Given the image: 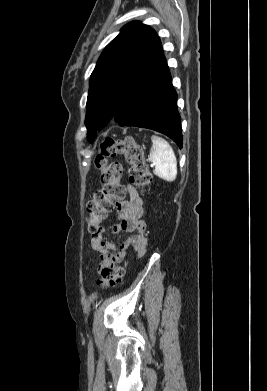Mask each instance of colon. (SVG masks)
Returning <instances> with one entry per match:
<instances>
[{
	"label": "colon",
	"mask_w": 267,
	"mask_h": 391,
	"mask_svg": "<svg viewBox=\"0 0 267 391\" xmlns=\"http://www.w3.org/2000/svg\"><path fill=\"white\" fill-rule=\"evenodd\" d=\"M120 154L124 155L130 164L129 180L132 184L147 187L152 181L142 145L131 136L119 140L106 138L94 158V165L100 174L102 188L93 195L87 205V229L93 237L102 231V223L113 209L114 202L125 197V188L120 182L123 172L122 165L117 161H110ZM124 274L125 270L122 266L106 267L101 271L99 283L104 288L111 287L121 282Z\"/></svg>",
	"instance_id": "1"
}]
</instances>
